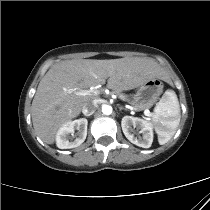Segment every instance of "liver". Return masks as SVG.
Here are the masks:
<instances>
[{
  "label": "liver",
  "instance_id": "6515ba94",
  "mask_svg": "<svg viewBox=\"0 0 210 210\" xmlns=\"http://www.w3.org/2000/svg\"><path fill=\"white\" fill-rule=\"evenodd\" d=\"M164 70L152 59L131 57L110 60L77 59L53 65L41 79L32 101L31 115L37 135L53 144L59 128L76 118L97 95L77 92L104 84L116 92L160 79Z\"/></svg>",
  "mask_w": 210,
  "mask_h": 210
}]
</instances>
